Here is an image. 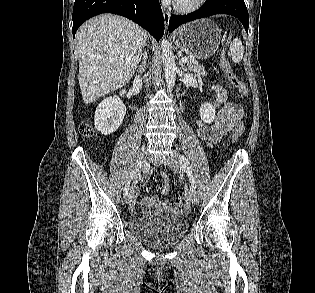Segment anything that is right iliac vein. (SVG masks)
<instances>
[{"mask_svg":"<svg viewBox=\"0 0 315 293\" xmlns=\"http://www.w3.org/2000/svg\"><path fill=\"white\" fill-rule=\"evenodd\" d=\"M145 153H146V145H142L140 150L138 151L135 167L137 171L139 172L141 168L143 167L144 159H145ZM134 199V192L133 188L132 190L125 196V203L130 204Z\"/></svg>","mask_w":315,"mask_h":293,"instance_id":"obj_1","label":"right iliac vein"}]
</instances>
